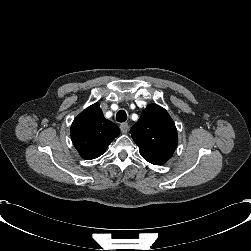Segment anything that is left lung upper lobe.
<instances>
[{"label":"left lung upper lobe","mask_w":251,"mask_h":251,"mask_svg":"<svg viewBox=\"0 0 251 251\" xmlns=\"http://www.w3.org/2000/svg\"><path fill=\"white\" fill-rule=\"evenodd\" d=\"M130 133L142 157L154 165L164 164L177 147V130L167 111L157 104L143 110Z\"/></svg>","instance_id":"5c2ea615"}]
</instances>
